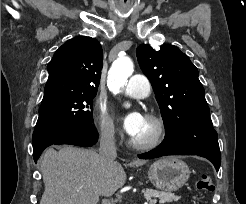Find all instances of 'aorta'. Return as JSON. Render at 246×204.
<instances>
[{"label":"aorta","mask_w":246,"mask_h":204,"mask_svg":"<svg viewBox=\"0 0 246 204\" xmlns=\"http://www.w3.org/2000/svg\"><path fill=\"white\" fill-rule=\"evenodd\" d=\"M134 71V65L132 60L127 56H121L117 58L110 70L108 75V86L112 90H118L127 83L128 78ZM127 107L130 105L127 104Z\"/></svg>","instance_id":"762f6f07"}]
</instances>
